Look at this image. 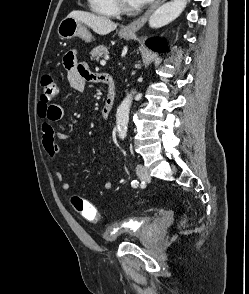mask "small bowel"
Segmentation results:
<instances>
[{
    "instance_id": "small-bowel-1",
    "label": "small bowel",
    "mask_w": 249,
    "mask_h": 294,
    "mask_svg": "<svg viewBox=\"0 0 249 294\" xmlns=\"http://www.w3.org/2000/svg\"><path fill=\"white\" fill-rule=\"evenodd\" d=\"M64 67L67 81L74 90L83 91L87 82H99V74L91 72L87 63L77 61V50H70L66 53ZM38 114L42 119V146L49 160L53 161L60 153V146L57 141L68 138V135L59 133L55 129V124L64 118L65 111L59 104L41 102L38 106ZM54 177L59 181L63 191H68L71 188L70 182L64 179V174L61 170L55 169ZM113 186L114 184L110 180L103 183L105 190H111Z\"/></svg>"
}]
</instances>
